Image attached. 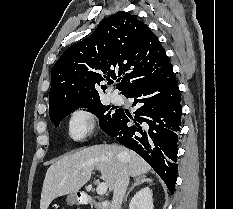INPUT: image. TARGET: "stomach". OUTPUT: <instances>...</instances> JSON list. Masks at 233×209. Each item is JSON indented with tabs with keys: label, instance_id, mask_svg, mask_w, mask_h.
Segmentation results:
<instances>
[{
	"label": "stomach",
	"instance_id": "1",
	"mask_svg": "<svg viewBox=\"0 0 233 209\" xmlns=\"http://www.w3.org/2000/svg\"><path fill=\"white\" fill-rule=\"evenodd\" d=\"M66 202L69 205L79 204V197L77 193L69 194L66 198Z\"/></svg>",
	"mask_w": 233,
	"mask_h": 209
}]
</instances>
